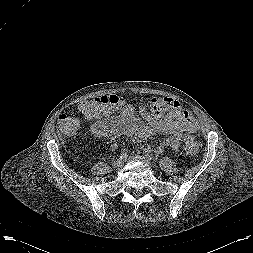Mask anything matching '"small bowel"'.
<instances>
[{"label": "small bowel", "mask_w": 253, "mask_h": 253, "mask_svg": "<svg viewBox=\"0 0 253 253\" xmlns=\"http://www.w3.org/2000/svg\"><path fill=\"white\" fill-rule=\"evenodd\" d=\"M140 115L144 119V122L135 115L134 107L131 104L124 105L120 109V122L123 124V129L121 133L132 138L136 142H141L144 139H147L151 135L160 132L170 135L162 143L156 146H146V151H152L155 154H161L165 148H171L173 150L179 149L181 142L193 138L192 133H194L197 128L185 129L180 122L170 119H153L146 117L143 113L142 108L139 110ZM110 112H106L104 115L95 118L97 119L91 125V132L93 135L98 137L111 136L112 138L118 134L116 130L106 131L103 128L104 123L108 122L107 120H102L103 117H109ZM61 130V129H60ZM62 132V131H61ZM118 148L117 143L111 144V149L116 150Z\"/></svg>", "instance_id": "c3829d8e"}]
</instances>
